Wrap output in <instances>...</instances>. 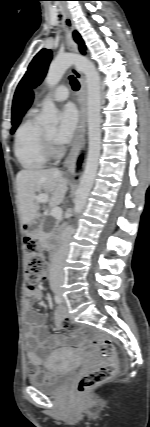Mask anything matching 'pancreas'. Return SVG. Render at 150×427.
Returning <instances> with one entry per match:
<instances>
[{"label":"pancreas","instance_id":"cf45deb5","mask_svg":"<svg viewBox=\"0 0 150 427\" xmlns=\"http://www.w3.org/2000/svg\"><path fill=\"white\" fill-rule=\"evenodd\" d=\"M58 225V223H56V226ZM45 237V235H44V233H40V238H44Z\"/></svg>","mask_w":150,"mask_h":427}]
</instances>
